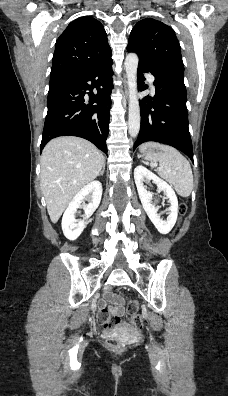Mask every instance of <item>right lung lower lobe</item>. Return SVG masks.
Returning <instances> with one entry per match:
<instances>
[{"instance_id": "right-lung-lower-lobe-1", "label": "right lung lower lobe", "mask_w": 228, "mask_h": 396, "mask_svg": "<svg viewBox=\"0 0 228 396\" xmlns=\"http://www.w3.org/2000/svg\"><path fill=\"white\" fill-rule=\"evenodd\" d=\"M112 75L110 59L89 71L50 79L41 150L51 139L71 135L91 141L107 154Z\"/></svg>"}]
</instances>
